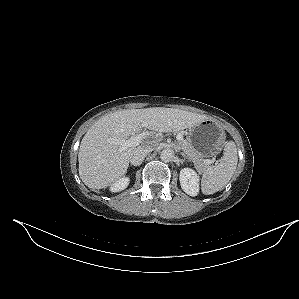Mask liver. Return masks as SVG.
I'll return each instance as SVG.
<instances>
[{"instance_id": "obj_1", "label": "liver", "mask_w": 299, "mask_h": 299, "mask_svg": "<svg viewBox=\"0 0 299 299\" xmlns=\"http://www.w3.org/2000/svg\"><path fill=\"white\" fill-rule=\"evenodd\" d=\"M206 119L205 115L161 107L127 109L102 116L81 141L78 153L79 176L89 188L102 189L126 173L130 154L137 147L119 152L120 146L110 144L109 138L126 140L142 128L156 132L180 131Z\"/></svg>"}]
</instances>
